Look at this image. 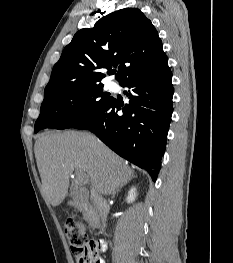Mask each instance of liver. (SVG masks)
Instances as JSON below:
<instances>
[{
    "mask_svg": "<svg viewBox=\"0 0 233 263\" xmlns=\"http://www.w3.org/2000/svg\"><path fill=\"white\" fill-rule=\"evenodd\" d=\"M34 151L42 194L52 206H58L67 196L74 170L86 173L92 187L104 195L134 176L122 158L87 132H46L36 140Z\"/></svg>",
    "mask_w": 233,
    "mask_h": 263,
    "instance_id": "liver-1",
    "label": "liver"
}]
</instances>
